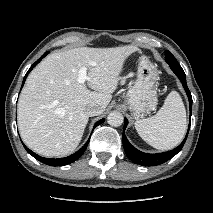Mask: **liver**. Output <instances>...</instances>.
<instances>
[{
	"mask_svg": "<svg viewBox=\"0 0 213 213\" xmlns=\"http://www.w3.org/2000/svg\"><path fill=\"white\" fill-rule=\"evenodd\" d=\"M137 47H81L47 56L29 74L18 101V127L23 142L45 157L73 152L81 141L95 103L106 109L116 90L124 61ZM87 68V85L78 71Z\"/></svg>",
	"mask_w": 213,
	"mask_h": 213,
	"instance_id": "liver-1",
	"label": "liver"
}]
</instances>
